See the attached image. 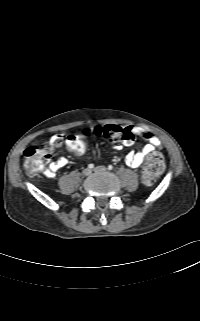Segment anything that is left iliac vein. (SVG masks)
<instances>
[{
    "label": "left iliac vein",
    "mask_w": 200,
    "mask_h": 321,
    "mask_svg": "<svg viewBox=\"0 0 200 321\" xmlns=\"http://www.w3.org/2000/svg\"><path fill=\"white\" fill-rule=\"evenodd\" d=\"M107 169L104 166H97L94 171L95 172H105Z\"/></svg>",
    "instance_id": "obj_1"
}]
</instances>
